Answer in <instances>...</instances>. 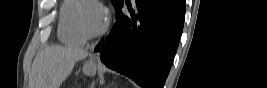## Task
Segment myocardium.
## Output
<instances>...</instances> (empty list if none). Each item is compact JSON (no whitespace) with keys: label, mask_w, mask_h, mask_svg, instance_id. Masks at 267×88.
Listing matches in <instances>:
<instances>
[{"label":"myocardium","mask_w":267,"mask_h":88,"mask_svg":"<svg viewBox=\"0 0 267 88\" xmlns=\"http://www.w3.org/2000/svg\"><path fill=\"white\" fill-rule=\"evenodd\" d=\"M85 3H93L98 5V3L96 1H82V3L79 5V7L77 8V23L79 26V29L81 31V33L86 37V38H96V37H100L102 36L109 28V24H110V15L108 13V11L103 8L104 12H105V23L103 25V27L101 29H99L98 31H90L86 28L84 22H83V18H82V8L83 5ZM99 6V5H98Z\"/></svg>","instance_id":"obj_1"}]
</instances>
